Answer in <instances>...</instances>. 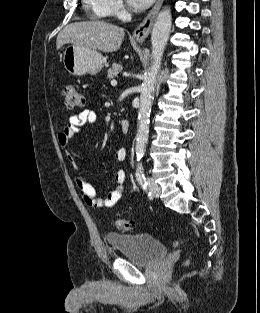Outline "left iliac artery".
<instances>
[{"instance_id": "obj_1", "label": "left iliac artery", "mask_w": 260, "mask_h": 313, "mask_svg": "<svg viewBox=\"0 0 260 313\" xmlns=\"http://www.w3.org/2000/svg\"><path fill=\"white\" fill-rule=\"evenodd\" d=\"M136 178L139 182V184L141 185V187L143 188L144 191H147V180L145 178V174H144V167L142 165H138L137 169H136Z\"/></svg>"}]
</instances>
